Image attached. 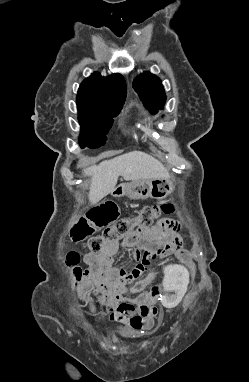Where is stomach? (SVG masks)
Segmentation results:
<instances>
[{"label": "stomach", "mask_w": 249, "mask_h": 382, "mask_svg": "<svg viewBox=\"0 0 249 382\" xmlns=\"http://www.w3.org/2000/svg\"><path fill=\"white\" fill-rule=\"evenodd\" d=\"M173 190L169 179H143L119 185L112 192L113 196H127L130 199L153 198L161 200L166 198Z\"/></svg>", "instance_id": "obj_1"}]
</instances>
